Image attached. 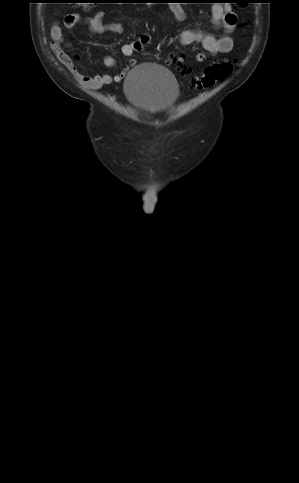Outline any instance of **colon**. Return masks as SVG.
<instances>
[{"mask_svg":"<svg viewBox=\"0 0 299 483\" xmlns=\"http://www.w3.org/2000/svg\"><path fill=\"white\" fill-rule=\"evenodd\" d=\"M175 63H180L179 57L173 58ZM233 70L232 61L216 62L208 66L202 75H195L189 68H184L183 72L190 79L194 88H208L215 83L226 79Z\"/></svg>","mask_w":299,"mask_h":483,"instance_id":"1","label":"colon"}]
</instances>
